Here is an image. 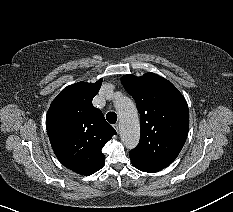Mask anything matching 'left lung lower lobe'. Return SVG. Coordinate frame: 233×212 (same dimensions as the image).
Instances as JSON below:
<instances>
[{"label": "left lung lower lobe", "instance_id": "obj_1", "mask_svg": "<svg viewBox=\"0 0 233 212\" xmlns=\"http://www.w3.org/2000/svg\"><path fill=\"white\" fill-rule=\"evenodd\" d=\"M130 159H131L133 166L136 167L137 169L143 171V172H158V171L162 170V168H159V167L147 164L145 162H142L141 160H139L133 156H130Z\"/></svg>", "mask_w": 233, "mask_h": 212}]
</instances>
